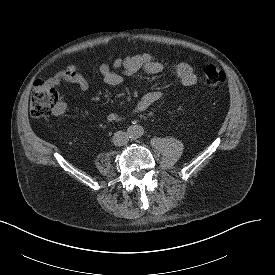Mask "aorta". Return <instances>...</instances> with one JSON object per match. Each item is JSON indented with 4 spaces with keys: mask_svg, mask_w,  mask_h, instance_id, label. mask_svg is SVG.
I'll return each mask as SVG.
<instances>
[{
    "mask_svg": "<svg viewBox=\"0 0 275 275\" xmlns=\"http://www.w3.org/2000/svg\"><path fill=\"white\" fill-rule=\"evenodd\" d=\"M129 138L136 139L143 135V128L138 125L130 126L127 130Z\"/></svg>",
    "mask_w": 275,
    "mask_h": 275,
    "instance_id": "aorta-1",
    "label": "aorta"
}]
</instances>
